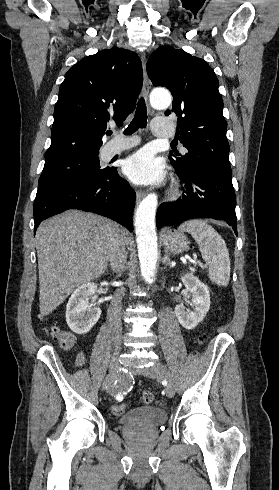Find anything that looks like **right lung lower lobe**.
<instances>
[{
  "mask_svg": "<svg viewBox=\"0 0 279 490\" xmlns=\"http://www.w3.org/2000/svg\"><path fill=\"white\" fill-rule=\"evenodd\" d=\"M135 192L112 167L103 177L38 187L34 201V232L44 219L68 209L94 212L133 231Z\"/></svg>",
  "mask_w": 279,
  "mask_h": 490,
  "instance_id": "obj_1",
  "label": "right lung lower lobe"
}]
</instances>
